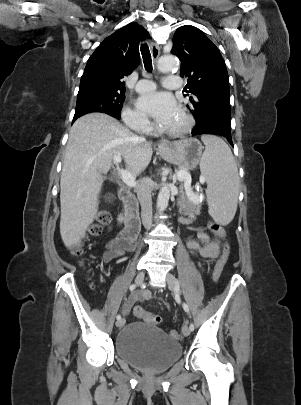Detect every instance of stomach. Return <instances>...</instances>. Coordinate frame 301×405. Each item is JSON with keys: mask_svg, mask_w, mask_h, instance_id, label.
<instances>
[{"mask_svg": "<svg viewBox=\"0 0 301 405\" xmlns=\"http://www.w3.org/2000/svg\"><path fill=\"white\" fill-rule=\"evenodd\" d=\"M202 149L203 147L197 139L189 138L160 147L158 152L167 162L175 164L179 168L192 170L201 159Z\"/></svg>", "mask_w": 301, "mask_h": 405, "instance_id": "0dacf381", "label": "stomach"}]
</instances>
